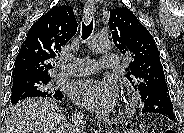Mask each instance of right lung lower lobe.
<instances>
[{"label": "right lung lower lobe", "instance_id": "right-lung-lower-lobe-1", "mask_svg": "<svg viewBox=\"0 0 184 133\" xmlns=\"http://www.w3.org/2000/svg\"><path fill=\"white\" fill-rule=\"evenodd\" d=\"M52 97H54V98L57 99V100H62L64 96H63V94H62V92H61L60 94L53 95Z\"/></svg>", "mask_w": 184, "mask_h": 133}]
</instances>
